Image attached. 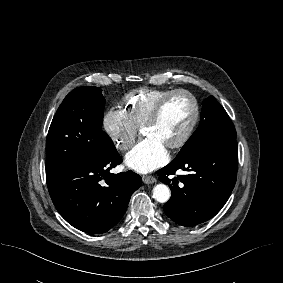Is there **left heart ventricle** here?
Returning a JSON list of instances; mask_svg holds the SVG:
<instances>
[{"instance_id":"obj_1","label":"left heart ventricle","mask_w":283,"mask_h":283,"mask_svg":"<svg viewBox=\"0 0 283 283\" xmlns=\"http://www.w3.org/2000/svg\"><path fill=\"white\" fill-rule=\"evenodd\" d=\"M193 113V104L188 97L175 96L166 104L157 123L144 128L142 135L155 138L165 146L174 143L186 131Z\"/></svg>"}]
</instances>
